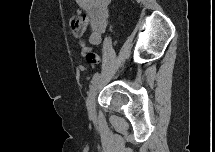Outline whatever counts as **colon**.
<instances>
[{"instance_id":"1","label":"colon","mask_w":215,"mask_h":152,"mask_svg":"<svg viewBox=\"0 0 215 152\" xmlns=\"http://www.w3.org/2000/svg\"><path fill=\"white\" fill-rule=\"evenodd\" d=\"M87 26L88 16L86 14H77L72 16L70 19V28L75 36H81L82 34H84ZM84 58L90 66H95L100 62L99 55L87 48H84Z\"/></svg>"}]
</instances>
